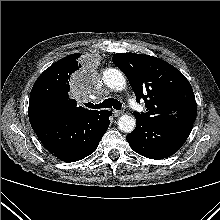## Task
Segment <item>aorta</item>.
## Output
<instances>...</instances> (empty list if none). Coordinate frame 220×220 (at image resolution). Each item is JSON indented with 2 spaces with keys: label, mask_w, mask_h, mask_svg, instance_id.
<instances>
[{
  "label": "aorta",
  "mask_w": 220,
  "mask_h": 220,
  "mask_svg": "<svg viewBox=\"0 0 220 220\" xmlns=\"http://www.w3.org/2000/svg\"><path fill=\"white\" fill-rule=\"evenodd\" d=\"M103 81L109 88L122 91L126 87L124 74L115 68H108L103 72ZM136 120L133 116L123 114L118 120V128L125 133H130L135 129Z\"/></svg>",
  "instance_id": "762f6f07"
}]
</instances>
